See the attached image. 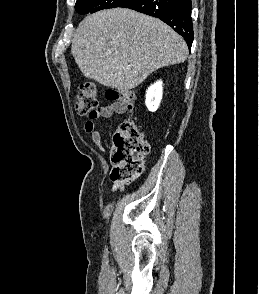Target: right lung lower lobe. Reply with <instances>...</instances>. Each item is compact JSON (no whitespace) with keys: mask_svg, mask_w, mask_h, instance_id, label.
<instances>
[{"mask_svg":"<svg viewBox=\"0 0 259 294\" xmlns=\"http://www.w3.org/2000/svg\"><path fill=\"white\" fill-rule=\"evenodd\" d=\"M191 6V0H128L119 7L161 19L179 33L191 48L194 38Z\"/></svg>","mask_w":259,"mask_h":294,"instance_id":"right-lung-lower-lobe-1","label":"right lung lower lobe"}]
</instances>
